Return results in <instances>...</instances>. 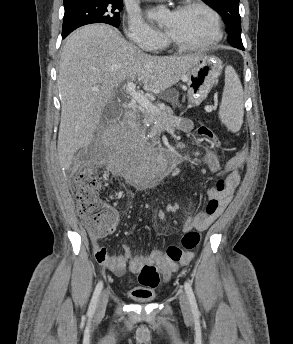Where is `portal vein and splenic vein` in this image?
I'll use <instances>...</instances> for the list:
<instances>
[{
	"label": "portal vein and splenic vein",
	"mask_w": 293,
	"mask_h": 344,
	"mask_svg": "<svg viewBox=\"0 0 293 344\" xmlns=\"http://www.w3.org/2000/svg\"><path fill=\"white\" fill-rule=\"evenodd\" d=\"M126 92L132 97L134 101L137 102L146 112L151 113L152 115H160L158 107L153 105L145 96L136 91V85L133 82H128L126 87Z\"/></svg>",
	"instance_id": "18ae733b"
}]
</instances>
